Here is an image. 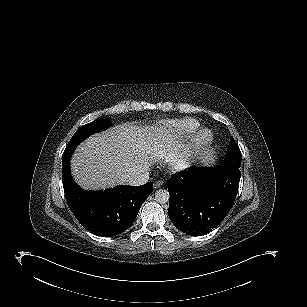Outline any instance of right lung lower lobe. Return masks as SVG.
Listing matches in <instances>:
<instances>
[{
	"label": "right lung lower lobe",
	"instance_id": "1",
	"mask_svg": "<svg viewBox=\"0 0 307 307\" xmlns=\"http://www.w3.org/2000/svg\"><path fill=\"white\" fill-rule=\"evenodd\" d=\"M75 149L62 157V182L65 197L76 219L90 232L113 237L134 222L143 202L152 192V182L141 186H118L107 191H86L70 173V158Z\"/></svg>",
	"mask_w": 307,
	"mask_h": 307
}]
</instances>
